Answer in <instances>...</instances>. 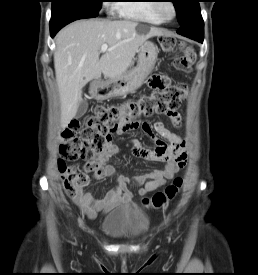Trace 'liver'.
<instances>
[{"mask_svg":"<svg viewBox=\"0 0 258 275\" xmlns=\"http://www.w3.org/2000/svg\"><path fill=\"white\" fill-rule=\"evenodd\" d=\"M162 30L132 20H79L56 36L54 67L61 103V126L76 116L82 89L92 79L123 75L139 47ZM103 44L109 46L100 57Z\"/></svg>","mask_w":258,"mask_h":275,"instance_id":"6515ba94","label":"liver"}]
</instances>
